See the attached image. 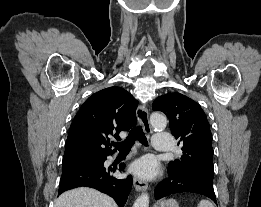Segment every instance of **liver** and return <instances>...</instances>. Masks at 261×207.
I'll return each mask as SVG.
<instances>
[{
	"instance_id": "1",
	"label": "liver",
	"mask_w": 261,
	"mask_h": 207,
	"mask_svg": "<svg viewBox=\"0 0 261 207\" xmlns=\"http://www.w3.org/2000/svg\"><path fill=\"white\" fill-rule=\"evenodd\" d=\"M54 207H118L115 201L95 189L80 187L61 194Z\"/></svg>"
}]
</instances>
